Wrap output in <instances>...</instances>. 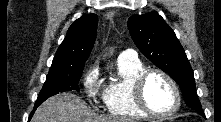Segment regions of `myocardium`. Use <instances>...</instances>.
I'll use <instances>...</instances> for the list:
<instances>
[{"label":"myocardium","mask_w":221,"mask_h":122,"mask_svg":"<svg viewBox=\"0 0 221 122\" xmlns=\"http://www.w3.org/2000/svg\"><path fill=\"white\" fill-rule=\"evenodd\" d=\"M160 75L163 77L171 86L174 96H175V105L169 112L166 113H158L154 111L147 103L145 98V85L147 80L152 75ZM133 98L140 110L146 113L148 116L155 118H168L173 116L181 106V93L176 81L165 71L157 68L145 69L133 81L132 85Z\"/></svg>","instance_id":"f54148a6"}]
</instances>
